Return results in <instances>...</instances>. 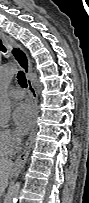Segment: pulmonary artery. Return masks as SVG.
Instances as JSON below:
<instances>
[{
  "label": "pulmonary artery",
  "mask_w": 89,
  "mask_h": 203,
  "mask_svg": "<svg viewBox=\"0 0 89 203\" xmlns=\"http://www.w3.org/2000/svg\"><path fill=\"white\" fill-rule=\"evenodd\" d=\"M9 96L13 99H16V100H19V99H22L24 98L25 96V92L21 89H11L9 91Z\"/></svg>",
  "instance_id": "1"
}]
</instances>
